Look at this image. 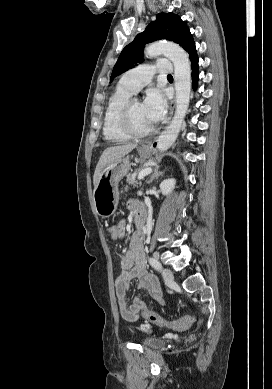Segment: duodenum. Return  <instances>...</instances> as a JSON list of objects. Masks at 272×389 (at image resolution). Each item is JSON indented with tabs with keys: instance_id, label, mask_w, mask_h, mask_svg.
<instances>
[{
	"instance_id": "duodenum-1",
	"label": "duodenum",
	"mask_w": 272,
	"mask_h": 389,
	"mask_svg": "<svg viewBox=\"0 0 272 389\" xmlns=\"http://www.w3.org/2000/svg\"><path fill=\"white\" fill-rule=\"evenodd\" d=\"M135 220L140 228L144 226V216L141 213L135 215Z\"/></svg>"
}]
</instances>
